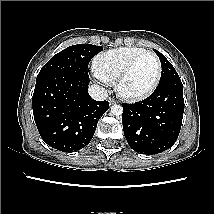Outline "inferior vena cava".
I'll use <instances>...</instances> for the list:
<instances>
[{
  "label": "inferior vena cava",
  "instance_id": "602c4592",
  "mask_svg": "<svg viewBox=\"0 0 214 214\" xmlns=\"http://www.w3.org/2000/svg\"><path fill=\"white\" fill-rule=\"evenodd\" d=\"M88 92H89V95L94 100H97V101L106 100L108 97L107 90L105 88L99 86V85H96V84L91 85L88 89Z\"/></svg>",
  "mask_w": 214,
  "mask_h": 214
}]
</instances>
